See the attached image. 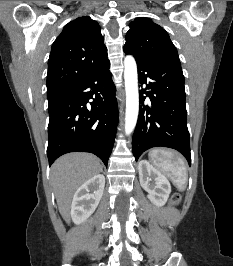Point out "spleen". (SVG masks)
<instances>
[{
    "label": "spleen",
    "instance_id": "spleen-1",
    "mask_svg": "<svg viewBox=\"0 0 233 266\" xmlns=\"http://www.w3.org/2000/svg\"><path fill=\"white\" fill-rule=\"evenodd\" d=\"M149 160L170 178L179 191L185 190L188 172L185 162L177 153L165 149H153L149 152Z\"/></svg>",
    "mask_w": 233,
    "mask_h": 266
}]
</instances>
